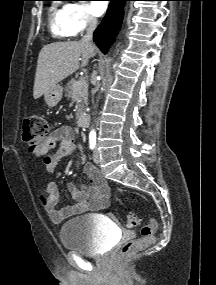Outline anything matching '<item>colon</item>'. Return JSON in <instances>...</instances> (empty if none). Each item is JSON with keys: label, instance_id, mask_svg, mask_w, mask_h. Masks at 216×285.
I'll return each instance as SVG.
<instances>
[{"label": "colon", "instance_id": "1", "mask_svg": "<svg viewBox=\"0 0 216 285\" xmlns=\"http://www.w3.org/2000/svg\"><path fill=\"white\" fill-rule=\"evenodd\" d=\"M49 126L45 118L39 115L28 116L23 121L22 138L28 150L33 155H39L40 146L48 134ZM126 226L134 228L139 224V217L135 213H130L126 217ZM158 224L151 219L141 229V236L137 239L127 241L120 249L117 257L118 262L126 260L131 255L145 249L154 242Z\"/></svg>", "mask_w": 216, "mask_h": 285}]
</instances>
